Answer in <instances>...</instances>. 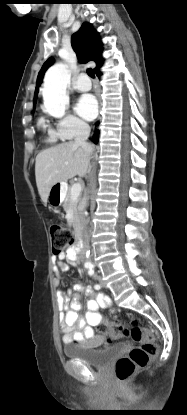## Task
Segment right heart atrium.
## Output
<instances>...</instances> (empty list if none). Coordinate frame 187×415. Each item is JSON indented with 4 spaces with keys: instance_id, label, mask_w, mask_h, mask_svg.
I'll return each mask as SVG.
<instances>
[{
    "instance_id": "1",
    "label": "right heart atrium",
    "mask_w": 187,
    "mask_h": 415,
    "mask_svg": "<svg viewBox=\"0 0 187 415\" xmlns=\"http://www.w3.org/2000/svg\"><path fill=\"white\" fill-rule=\"evenodd\" d=\"M57 131L64 140H70L88 131V125L72 114H66L57 122Z\"/></svg>"
}]
</instances>
